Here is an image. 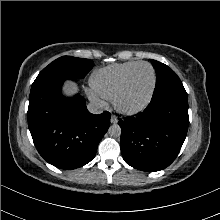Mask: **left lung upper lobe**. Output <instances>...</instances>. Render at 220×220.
Listing matches in <instances>:
<instances>
[{
  "label": "left lung upper lobe",
  "instance_id": "left-lung-upper-lobe-1",
  "mask_svg": "<svg viewBox=\"0 0 220 220\" xmlns=\"http://www.w3.org/2000/svg\"><path fill=\"white\" fill-rule=\"evenodd\" d=\"M156 70V86L151 101L173 100L188 105L187 93L176 73L167 65L151 60Z\"/></svg>",
  "mask_w": 220,
  "mask_h": 220
}]
</instances>
